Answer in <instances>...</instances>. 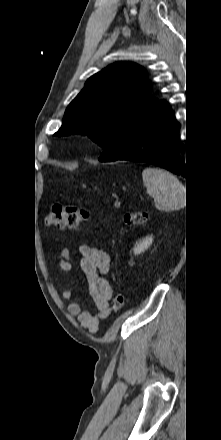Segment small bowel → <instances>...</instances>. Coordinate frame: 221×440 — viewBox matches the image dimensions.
<instances>
[{"label": "small bowel", "mask_w": 221, "mask_h": 440, "mask_svg": "<svg viewBox=\"0 0 221 440\" xmlns=\"http://www.w3.org/2000/svg\"><path fill=\"white\" fill-rule=\"evenodd\" d=\"M79 264L85 278L86 293L93 300L96 312L82 310L77 302H71L68 305V312L77 315L80 324L89 332H96L101 320L107 318L110 314L109 301L112 298V287L106 278L110 268L109 255L102 249L82 245L79 249ZM61 259L58 262L61 270L72 272L73 256L70 251L63 248L60 252ZM66 300L73 298V291L66 289L62 292Z\"/></svg>", "instance_id": "c3829d8e"}]
</instances>
